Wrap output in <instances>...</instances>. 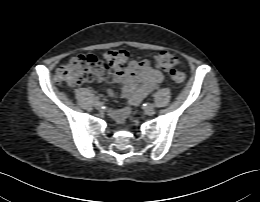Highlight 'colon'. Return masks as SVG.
I'll use <instances>...</instances> for the list:
<instances>
[{
    "instance_id": "colon-1",
    "label": "colon",
    "mask_w": 260,
    "mask_h": 202,
    "mask_svg": "<svg viewBox=\"0 0 260 202\" xmlns=\"http://www.w3.org/2000/svg\"><path fill=\"white\" fill-rule=\"evenodd\" d=\"M128 58V53L123 49L108 51L104 58L94 54H83L73 57L68 63L57 68L54 81L57 84L74 87L83 83H91L99 80L109 68H121ZM158 68L169 71L170 78L176 83L186 80L184 73L175 69L179 64V58L168 51H160L155 57Z\"/></svg>"
}]
</instances>
